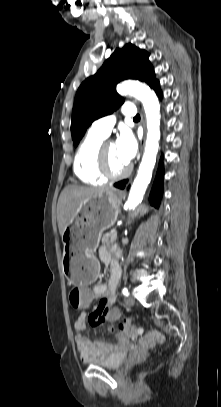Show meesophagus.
I'll return each mask as SVG.
<instances>
[{
  "mask_svg": "<svg viewBox=\"0 0 221 407\" xmlns=\"http://www.w3.org/2000/svg\"><path fill=\"white\" fill-rule=\"evenodd\" d=\"M142 121H143V124H144V126H145V119H144V117H142ZM143 145H144V142H143Z\"/></svg>",
  "mask_w": 221,
  "mask_h": 407,
  "instance_id": "1",
  "label": "esophagus"
}]
</instances>
